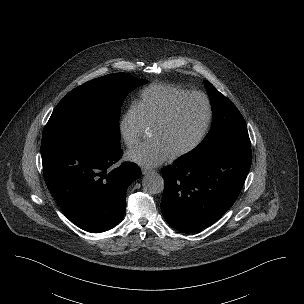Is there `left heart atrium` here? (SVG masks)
<instances>
[{
  "mask_svg": "<svg viewBox=\"0 0 304 304\" xmlns=\"http://www.w3.org/2000/svg\"><path fill=\"white\" fill-rule=\"evenodd\" d=\"M171 151L159 140L141 144L127 153V159L144 167H155L172 158Z\"/></svg>",
  "mask_w": 304,
  "mask_h": 304,
  "instance_id": "obj_1",
  "label": "left heart atrium"
}]
</instances>
